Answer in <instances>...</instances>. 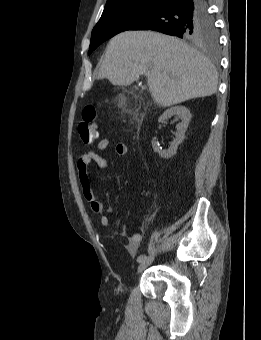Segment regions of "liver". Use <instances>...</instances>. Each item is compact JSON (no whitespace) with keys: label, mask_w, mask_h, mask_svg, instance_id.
I'll list each match as a JSON object with an SVG mask.
<instances>
[{"label":"liver","mask_w":261,"mask_h":340,"mask_svg":"<svg viewBox=\"0 0 261 340\" xmlns=\"http://www.w3.org/2000/svg\"><path fill=\"white\" fill-rule=\"evenodd\" d=\"M147 77L154 101L168 107L217 91V71L199 51L180 39L152 31H125L106 49L98 79L127 86Z\"/></svg>","instance_id":"obj_1"}]
</instances>
